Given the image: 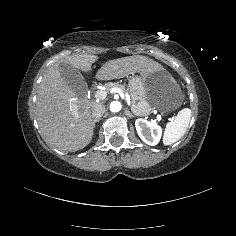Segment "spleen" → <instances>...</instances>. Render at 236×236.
Wrapping results in <instances>:
<instances>
[{
	"label": "spleen",
	"mask_w": 236,
	"mask_h": 236,
	"mask_svg": "<svg viewBox=\"0 0 236 236\" xmlns=\"http://www.w3.org/2000/svg\"><path fill=\"white\" fill-rule=\"evenodd\" d=\"M191 115V110L184 108L178 112L173 121L167 123L163 136L164 145H171L177 142L185 134L190 123Z\"/></svg>",
	"instance_id": "1"
}]
</instances>
